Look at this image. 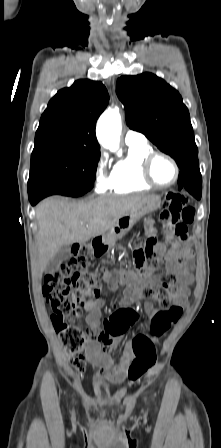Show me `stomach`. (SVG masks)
<instances>
[{"instance_id":"stomach-1","label":"stomach","mask_w":221,"mask_h":448,"mask_svg":"<svg viewBox=\"0 0 221 448\" xmlns=\"http://www.w3.org/2000/svg\"><path fill=\"white\" fill-rule=\"evenodd\" d=\"M160 204L161 198L159 196H153L140 207L121 217L116 225L104 235V241L109 245H113L118 239L122 238L141 217L159 208Z\"/></svg>"}]
</instances>
